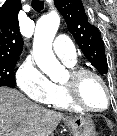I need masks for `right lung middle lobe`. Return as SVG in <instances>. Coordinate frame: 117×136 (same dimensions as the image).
Masks as SVG:
<instances>
[{"label":"right lung middle lobe","instance_id":"obj_1","mask_svg":"<svg viewBox=\"0 0 117 136\" xmlns=\"http://www.w3.org/2000/svg\"><path fill=\"white\" fill-rule=\"evenodd\" d=\"M17 60L0 59V87H15L14 68Z\"/></svg>","mask_w":117,"mask_h":136}]
</instances>
